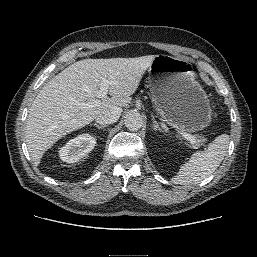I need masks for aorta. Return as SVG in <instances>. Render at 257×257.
<instances>
[{
  "mask_svg": "<svg viewBox=\"0 0 257 257\" xmlns=\"http://www.w3.org/2000/svg\"><path fill=\"white\" fill-rule=\"evenodd\" d=\"M124 122L127 129L131 131H137L143 125L142 116L137 111L128 112L125 116Z\"/></svg>",
  "mask_w": 257,
  "mask_h": 257,
  "instance_id": "1",
  "label": "aorta"
}]
</instances>
